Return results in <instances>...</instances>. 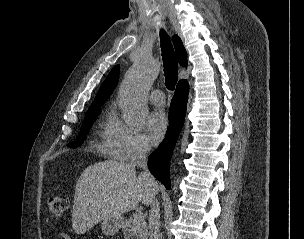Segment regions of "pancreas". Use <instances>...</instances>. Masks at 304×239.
<instances>
[{"label": "pancreas", "mask_w": 304, "mask_h": 239, "mask_svg": "<svg viewBox=\"0 0 304 239\" xmlns=\"http://www.w3.org/2000/svg\"><path fill=\"white\" fill-rule=\"evenodd\" d=\"M130 217L122 226L124 239H148V228L144 218Z\"/></svg>", "instance_id": "1"}]
</instances>
